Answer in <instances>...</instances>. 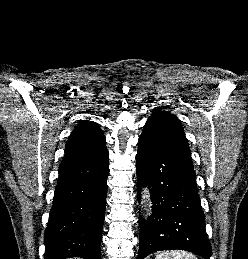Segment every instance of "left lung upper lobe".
Segmentation results:
<instances>
[{"mask_svg": "<svg viewBox=\"0 0 248 259\" xmlns=\"http://www.w3.org/2000/svg\"><path fill=\"white\" fill-rule=\"evenodd\" d=\"M139 140L168 153L193 169L191 152L182 125L173 114L155 110L146 122Z\"/></svg>", "mask_w": 248, "mask_h": 259, "instance_id": "5c2ea615", "label": "left lung upper lobe"}]
</instances>
